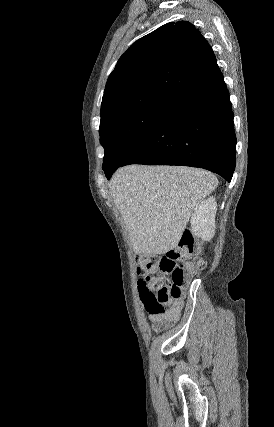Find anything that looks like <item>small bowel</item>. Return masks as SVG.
<instances>
[{
  "mask_svg": "<svg viewBox=\"0 0 274 427\" xmlns=\"http://www.w3.org/2000/svg\"><path fill=\"white\" fill-rule=\"evenodd\" d=\"M184 267H188L190 263L182 262ZM139 285V284H138ZM182 303L179 300H175L172 305L167 308L164 312L158 314H150V320L155 331H160L168 327L174 322L181 314Z\"/></svg>",
  "mask_w": 274,
  "mask_h": 427,
  "instance_id": "1",
  "label": "small bowel"
}]
</instances>
